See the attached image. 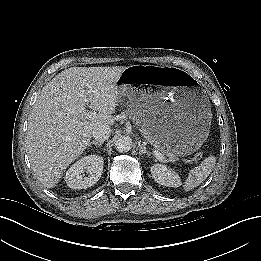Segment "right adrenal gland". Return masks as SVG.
<instances>
[{"instance_id":"right-adrenal-gland-1","label":"right adrenal gland","mask_w":261,"mask_h":261,"mask_svg":"<svg viewBox=\"0 0 261 261\" xmlns=\"http://www.w3.org/2000/svg\"><path fill=\"white\" fill-rule=\"evenodd\" d=\"M103 142H99V141H92L89 144V147H91L92 145H96L97 147L102 146Z\"/></svg>"}]
</instances>
